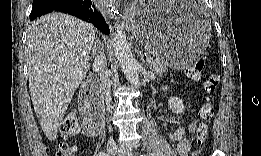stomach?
<instances>
[{
	"mask_svg": "<svg viewBox=\"0 0 261 156\" xmlns=\"http://www.w3.org/2000/svg\"><path fill=\"white\" fill-rule=\"evenodd\" d=\"M129 21L139 43L175 68L193 65L210 38V20L193 1L136 2Z\"/></svg>",
	"mask_w": 261,
	"mask_h": 156,
	"instance_id": "1",
	"label": "stomach"
}]
</instances>
